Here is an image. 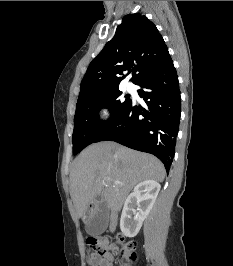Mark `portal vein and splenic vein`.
Masks as SVG:
<instances>
[{"label": "portal vein and splenic vein", "mask_w": 233, "mask_h": 266, "mask_svg": "<svg viewBox=\"0 0 233 266\" xmlns=\"http://www.w3.org/2000/svg\"><path fill=\"white\" fill-rule=\"evenodd\" d=\"M105 181L106 182H110L111 180L109 179V178H107V179H105ZM121 184V182H119V181H114V185H120Z\"/></svg>", "instance_id": "18ae733b"}]
</instances>
